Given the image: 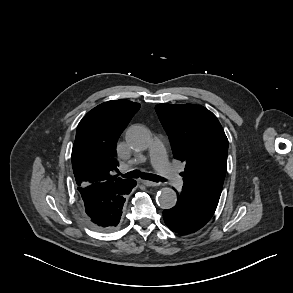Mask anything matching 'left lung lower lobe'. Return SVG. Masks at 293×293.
I'll use <instances>...</instances> for the list:
<instances>
[{
    "mask_svg": "<svg viewBox=\"0 0 293 293\" xmlns=\"http://www.w3.org/2000/svg\"><path fill=\"white\" fill-rule=\"evenodd\" d=\"M216 208L181 190L176 205L163 211L165 224L173 232L187 235L201 229L211 219Z\"/></svg>",
    "mask_w": 293,
    "mask_h": 293,
    "instance_id": "0a47b994",
    "label": "left lung lower lobe"
}]
</instances>
